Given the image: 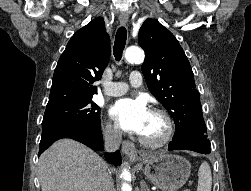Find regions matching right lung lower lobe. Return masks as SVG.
Here are the masks:
<instances>
[{
	"label": "right lung lower lobe",
	"mask_w": 251,
	"mask_h": 191,
	"mask_svg": "<svg viewBox=\"0 0 251 191\" xmlns=\"http://www.w3.org/2000/svg\"><path fill=\"white\" fill-rule=\"evenodd\" d=\"M62 138L74 139L94 150L103 149L101 126L89 127L81 124H69L42 134L38 156L52 143ZM105 157L111 164L116 166L121 164V154L119 151L114 153H106Z\"/></svg>",
	"instance_id": "98d812e1"
}]
</instances>
